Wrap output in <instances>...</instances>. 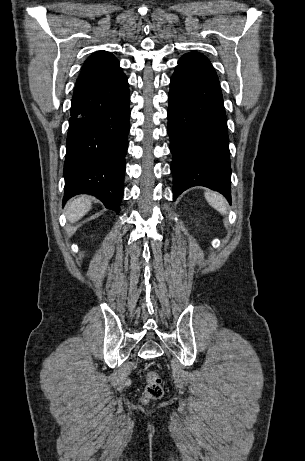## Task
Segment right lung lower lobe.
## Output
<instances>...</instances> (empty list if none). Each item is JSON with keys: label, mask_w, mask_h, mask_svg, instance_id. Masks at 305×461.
Returning <instances> with one entry per match:
<instances>
[{"label": "right lung lower lobe", "mask_w": 305, "mask_h": 461, "mask_svg": "<svg viewBox=\"0 0 305 461\" xmlns=\"http://www.w3.org/2000/svg\"><path fill=\"white\" fill-rule=\"evenodd\" d=\"M130 95L123 72L75 86L64 163L63 203L90 194L120 211L128 148Z\"/></svg>", "instance_id": "right-lung-lower-lobe-1"}]
</instances>
